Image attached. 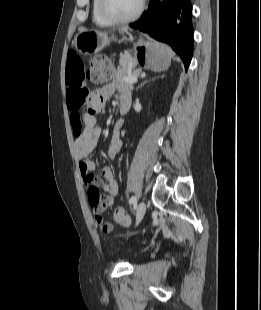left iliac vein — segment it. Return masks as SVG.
Returning a JSON list of instances; mask_svg holds the SVG:
<instances>
[{
    "mask_svg": "<svg viewBox=\"0 0 261 310\" xmlns=\"http://www.w3.org/2000/svg\"><path fill=\"white\" fill-rule=\"evenodd\" d=\"M146 211V204L144 202H140L136 209V225L142 220Z\"/></svg>",
    "mask_w": 261,
    "mask_h": 310,
    "instance_id": "1",
    "label": "left iliac vein"
}]
</instances>
